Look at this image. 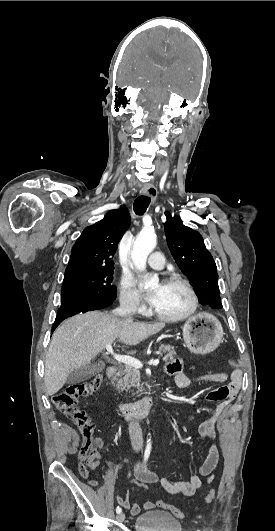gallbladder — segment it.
<instances>
[{
  "label": "gallbladder",
  "mask_w": 275,
  "mask_h": 531,
  "mask_svg": "<svg viewBox=\"0 0 275 531\" xmlns=\"http://www.w3.org/2000/svg\"><path fill=\"white\" fill-rule=\"evenodd\" d=\"M103 369H105V363H102V361H99V363H90V365H85V367H81V369L71 371L67 377L66 383H68V385L83 383V381L91 379V377H94L97 373H101Z\"/></svg>",
  "instance_id": "1"
}]
</instances>
